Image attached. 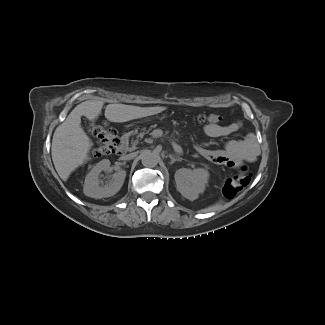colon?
I'll return each instance as SVG.
<instances>
[{
	"label": "colon",
	"instance_id": "obj_1",
	"mask_svg": "<svg viewBox=\"0 0 325 325\" xmlns=\"http://www.w3.org/2000/svg\"><path fill=\"white\" fill-rule=\"evenodd\" d=\"M221 117L215 114L202 115L199 122L205 124H218ZM90 132L95 138L94 153L98 156L107 155L116 151L119 139L116 131L106 123L92 124ZM251 181V171L247 165H241L237 172L226 180L223 194L227 198H234Z\"/></svg>",
	"mask_w": 325,
	"mask_h": 325
}]
</instances>
